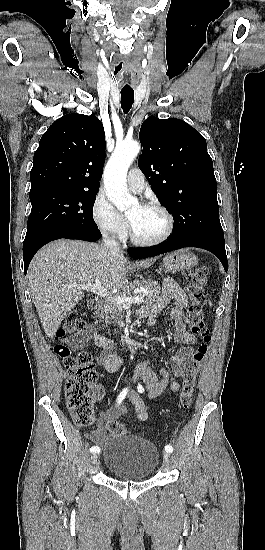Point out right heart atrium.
<instances>
[{"label":"right heart atrium","instance_id":"obj_1","mask_svg":"<svg viewBox=\"0 0 265 550\" xmlns=\"http://www.w3.org/2000/svg\"><path fill=\"white\" fill-rule=\"evenodd\" d=\"M92 218L98 230L111 238L123 239L127 234V221L104 192H98L92 204Z\"/></svg>","mask_w":265,"mask_h":550}]
</instances>
